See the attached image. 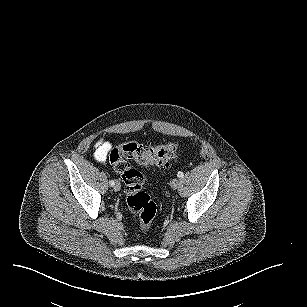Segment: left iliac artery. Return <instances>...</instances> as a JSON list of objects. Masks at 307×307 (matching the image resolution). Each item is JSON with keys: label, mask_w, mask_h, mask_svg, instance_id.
<instances>
[{"label": "left iliac artery", "mask_w": 307, "mask_h": 307, "mask_svg": "<svg viewBox=\"0 0 307 307\" xmlns=\"http://www.w3.org/2000/svg\"><path fill=\"white\" fill-rule=\"evenodd\" d=\"M177 176H178L179 178H183L184 174H183V172L179 171V172L177 173Z\"/></svg>", "instance_id": "44dca946"}]
</instances>
